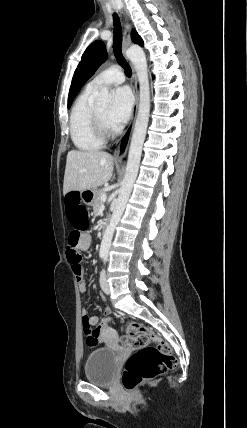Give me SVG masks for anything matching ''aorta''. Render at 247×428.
<instances>
[{"instance_id": "1", "label": "aorta", "mask_w": 247, "mask_h": 428, "mask_svg": "<svg viewBox=\"0 0 247 428\" xmlns=\"http://www.w3.org/2000/svg\"><path fill=\"white\" fill-rule=\"evenodd\" d=\"M126 56L132 62L136 71L139 83V107L129 148L125 177L110 219V223L107 226L102 238L100 246L101 257L108 256L115 228L123 215L134 182L136 180L150 115V84L146 55L141 47L132 45L126 51ZM110 100L111 96L109 94L108 88L102 87L97 96L98 104L102 107H106Z\"/></svg>"}]
</instances>
